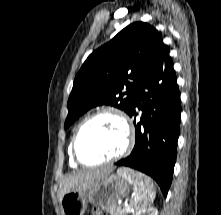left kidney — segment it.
Returning a JSON list of instances; mask_svg holds the SVG:
<instances>
[{
	"label": "left kidney",
	"mask_w": 221,
	"mask_h": 215,
	"mask_svg": "<svg viewBox=\"0 0 221 215\" xmlns=\"http://www.w3.org/2000/svg\"><path fill=\"white\" fill-rule=\"evenodd\" d=\"M158 210L153 207H149L143 210L138 211L135 215H157Z\"/></svg>",
	"instance_id": "5707ae66"
}]
</instances>
